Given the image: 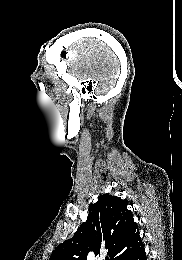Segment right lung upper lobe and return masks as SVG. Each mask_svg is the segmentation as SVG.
I'll return each mask as SVG.
<instances>
[{
  "instance_id": "right-lung-upper-lobe-1",
  "label": "right lung upper lobe",
  "mask_w": 182,
  "mask_h": 260,
  "mask_svg": "<svg viewBox=\"0 0 182 260\" xmlns=\"http://www.w3.org/2000/svg\"><path fill=\"white\" fill-rule=\"evenodd\" d=\"M127 201L104 194L91 205L88 218L74 236L59 244L50 260H87L89 250L95 255L107 249L110 260L117 258L141 240Z\"/></svg>"
}]
</instances>
